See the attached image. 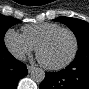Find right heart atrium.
I'll return each instance as SVG.
<instances>
[{
    "instance_id": "d8ad5b80",
    "label": "right heart atrium",
    "mask_w": 89,
    "mask_h": 89,
    "mask_svg": "<svg viewBox=\"0 0 89 89\" xmlns=\"http://www.w3.org/2000/svg\"><path fill=\"white\" fill-rule=\"evenodd\" d=\"M4 44L7 50L17 59L22 60L35 50L21 33L9 28L4 34Z\"/></svg>"
}]
</instances>
